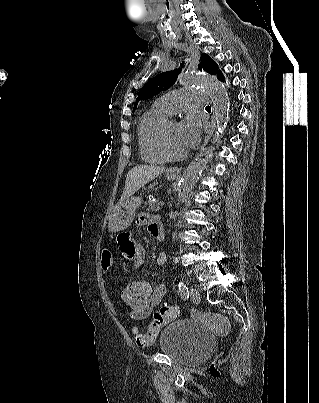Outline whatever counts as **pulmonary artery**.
Listing matches in <instances>:
<instances>
[{
  "label": "pulmonary artery",
  "mask_w": 319,
  "mask_h": 403,
  "mask_svg": "<svg viewBox=\"0 0 319 403\" xmlns=\"http://www.w3.org/2000/svg\"><path fill=\"white\" fill-rule=\"evenodd\" d=\"M205 96L201 90L182 88L161 96L155 104L167 113L174 114L194 106H205Z\"/></svg>",
  "instance_id": "e3ab8cb5"
}]
</instances>
